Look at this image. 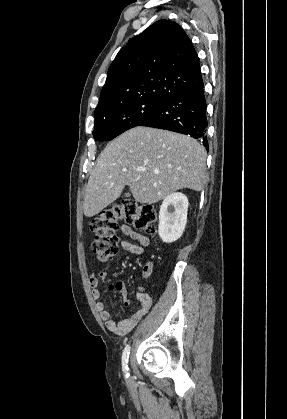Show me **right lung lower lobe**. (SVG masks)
I'll return each mask as SVG.
<instances>
[{"instance_id":"right-lung-lower-lobe-1","label":"right lung lower lobe","mask_w":287,"mask_h":419,"mask_svg":"<svg viewBox=\"0 0 287 419\" xmlns=\"http://www.w3.org/2000/svg\"><path fill=\"white\" fill-rule=\"evenodd\" d=\"M204 84L167 97L160 108L139 126L165 129L199 139L206 148L207 113Z\"/></svg>"}]
</instances>
